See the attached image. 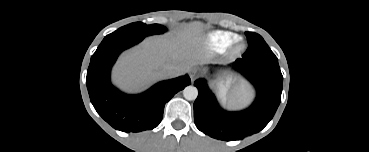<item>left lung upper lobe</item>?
Segmentation results:
<instances>
[{
    "mask_svg": "<svg viewBox=\"0 0 369 152\" xmlns=\"http://www.w3.org/2000/svg\"><path fill=\"white\" fill-rule=\"evenodd\" d=\"M248 49L242 57L253 60H278L264 39L257 33L246 32Z\"/></svg>",
    "mask_w": 369,
    "mask_h": 152,
    "instance_id": "5c2ea615",
    "label": "left lung upper lobe"
}]
</instances>
